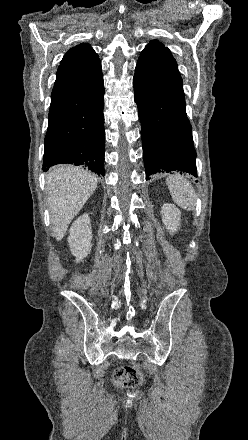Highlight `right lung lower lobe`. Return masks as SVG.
I'll return each mask as SVG.
<instances>
[{
	"label": "right lung lower lobe",
	"mask_w": 248,
	"mask_h": 440,
	"mask_svg": "<svg viewBox=\"0 0 248 440\" xmlns=\"http://www.w3.org/2000/svg\"><path fill=\"white\" fill-rule=\"evenodd\" d=\"M104 83L51 98L43 171L70 163L104 176Z\"/></svg>",
	"instance_id": "1"
}]
</instances>
